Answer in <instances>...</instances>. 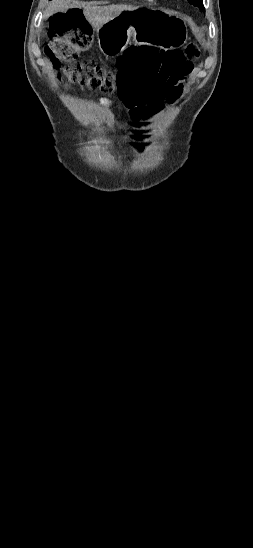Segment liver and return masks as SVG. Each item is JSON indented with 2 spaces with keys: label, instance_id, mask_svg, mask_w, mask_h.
<instances>
[{
  "label": "liver",
  "instance_id": "6515ba94",
  "mask_svg": "<svg viewBox=\"0 0 253 548\" xmlns=\"http://www.w3.org/2000/svg\"><path fill=\"white\" fill-rule=\"evenodd\" d=\"M83 8V14L91 26L98 29L108 23L113 17L124 11L134 10L131 5H107L95 6L78 0H52L46 8V15L50 16L57 12H65L68 9Z\"/></svg>",
  "mask_w": 253,
  "mask_h": 548
}]
</instances>
